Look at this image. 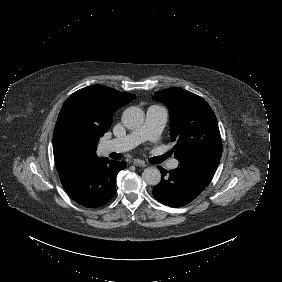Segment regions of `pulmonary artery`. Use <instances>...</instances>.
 <instances>
[{
    "label": "pulmonary artery",
    "mask_w": 282,
    "mask_h": 282,
    "mask_svg": "<svg viewBox=\"0 0 282 282\" xmlns=\"http://www.w3.org/2000/svg\"><path fill=\"white\" fill-rule=\"evenodd\" d=\"M168 119L165 107L152 105L147 109L144 123L122 138H116L107 143L109 151H127L146 140H155L162 133ZM178 161L173 160L170 168H176Z\"/></svg>",
    "instance_id": "obj_1"
}]
</instances>
